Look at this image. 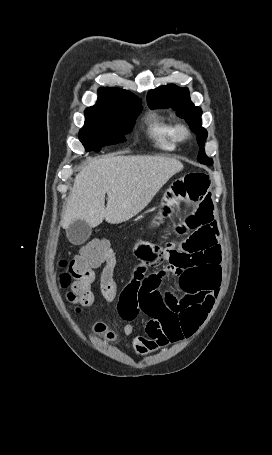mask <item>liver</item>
Segmentation results:
<instances>
[{"mask_svg": "<svg viewBox=\"0 0 272 455\" xmlns=\"http://www.w3.org/2000/svg\"><path fill=\"white\" fill-rule=\"evenodd\" d=\"M182 169L179 160L163 156L112 154L95 158L76 175L61 225L68 228L75 220L90 227L104 219L111 224L128 221Z\"/></svg>", "mask_w": 272, "mask_h": 455, "instance_id": "liver-1", "label": "liver"}]
</instances>
